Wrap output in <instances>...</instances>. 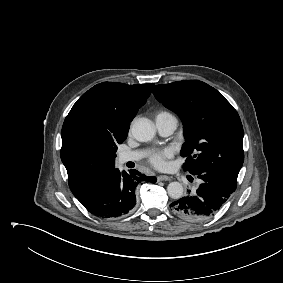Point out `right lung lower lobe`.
Instances as JSON below:
<instances>
[{
    "label": "right lung lower lobe",
    "instance_id": "obj_1",
    "mask_svg": "<svg viewBox=\"0 0 283 283\" xmlns=\"http://www.w3.org/2000/svg\"><path fill=\"white\" fill-rule=\"evenodd\" d=\"M156 182L137 170L120 172L113 170L105 179L76 196L92 214L102 218H117L126 215L136 204L135 189L143 182Z\"/></svg>",
    "mask_w": 283,
    "mask_h": 283
}]
</instances>
